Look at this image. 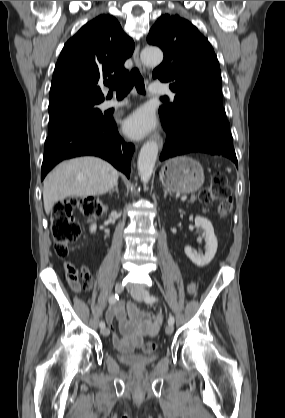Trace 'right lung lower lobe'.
Instances as JSON below:
<instances>
[{"mask_svg": "<svg viewBox=\"0 0 285 418\" xmlns=\"http://www.w3.org/2000/svg\"><path fill=\"white\" fill-rule=\"evenodd\" d=\"M135 147L119 135L113 119L98 124H81L49 135L45 141L41 180L65 159L93 155L110 162L130 177V161Z\"/></svg>", "mask_w": 285, "mask_h": 418, "instance_id": "obj_1", "label": "right lung lower lobe"}]
</instances>
